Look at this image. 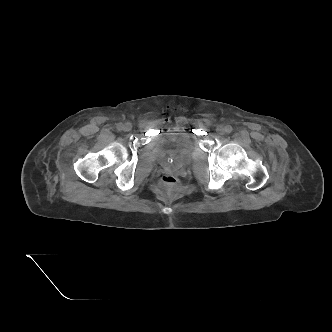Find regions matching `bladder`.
<instances>
[{
	"label": "bladder",
	"mask_w": 332,
	"mask_h": 332,
	"mask_svg": "<svg viewBox=\"0 0 332 332\" xmlns=\"http://www.w3.org/2000/svg\"><path fill=\"white\" fill-rule=\"evenodd\" d=\"M149 146L160 163L165 164L168 159H172L175 163L184 165L194 150L195 141L191 132L182 131L165 137H155Z\"/></svg>",
	"instance_id": "bladder-1"
}]
</instances>
